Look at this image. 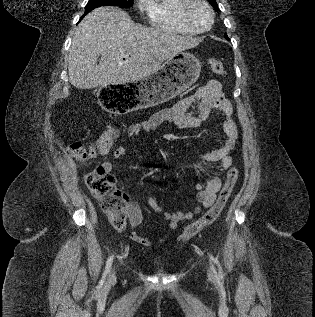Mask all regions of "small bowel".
<instances>
[{
    "label": "small bowel",
    "instance_id": "small-bowel-1",
    "mask_svg": "<svg viewBox=\"0 0 315 317\" xmlns=\"http://www.w3.org/2000/svg\"><path fill=\"white\" fill-rule=\"evenodd\" d=\"M199 103L196 113L191 112V108L195 103ZM218 110L224 115L223 129L226 134L225 143L218 149L202 154L200 159L206 162L219 163L223 170H227L232 164L230 156L238 140V131L236 123L233 119V109L229 101L224 97L221 91V85L218 81L212 80L203 85L195 93L181 99L170 108L163 109L148 120L133 123L128 126L127 134L130 137L138 136L141 133H147L156 130V128L163 122H173L181 129H190L200 126V124L207 119L211 110ZM128 153V147L121 145L117 147L113 153L114 159H119ZM102 167L111 172L113 165L110 161L102 163ZM221 187V178L217 175L212 176L205 185L197 183L194 185L197 191L196 200L198 205L194 210L187 212H164L162 206L151 195L149 189V196L147 198L148 205L156 213H162L165 220L168 222L169 231H174L178 223L182 220L192 219L201 208H208L213 205L216 193ZM128 199V216L131 227L138 228L142 221V211L135 200L126 195ZM132 241L145 246L153 247L155 241L141 236L137 231H133L130 235ZM167 235L160 238L158 243H163Z\"/></svg>",
    "mask_w": 315,
    "mask_h": 317
}]
</instances>
